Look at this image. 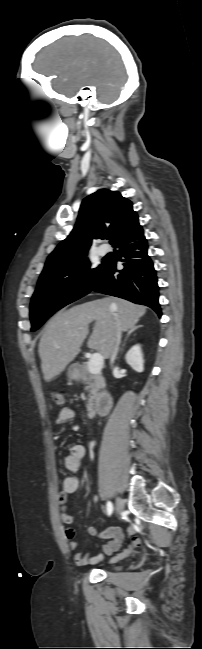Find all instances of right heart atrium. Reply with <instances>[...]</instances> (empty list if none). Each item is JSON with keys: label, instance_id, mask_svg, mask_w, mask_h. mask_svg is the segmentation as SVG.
I'll return each instance as SVG.
<instances>
[{"label": "right heart atrium", "instance_id": "right-heart-atrium-1", "mask_svg": "<svg viewBox=\"0 0 202 649\" xmlns=\"http://www.w3.org/2000/svg\"><path fill=\"white\" fill-rule=\"evenodd\" d=\"M89 286L90 282L88 277L83 273H79L74 275L70 279L67 287V293L71 297H77L88 292Z\"/></svg>", "mask_w": 202, "mask_h": 649}]
</instances>
